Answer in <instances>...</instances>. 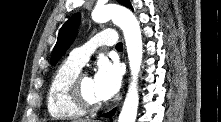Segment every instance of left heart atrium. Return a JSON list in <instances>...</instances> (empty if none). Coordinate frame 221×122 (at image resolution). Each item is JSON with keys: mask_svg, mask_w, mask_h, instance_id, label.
Masks as SVG:
<instances>
[{"mask_svg": "<svg viewBox=\"0 0 221 122\" xmlns=\"http://www.w3.org/2000/svg\"><path fill=\"white\" fill-rule=\"evenodd\" d=\"M97 97L101 101L112 98L121 86V70L118 64L108 59H100L93 78Z\"/></svg>", "mask_w": 221, "mask_h": 122, "instance_id": "39dd6f15", "label": "left heart atrium"}]
</instances>
